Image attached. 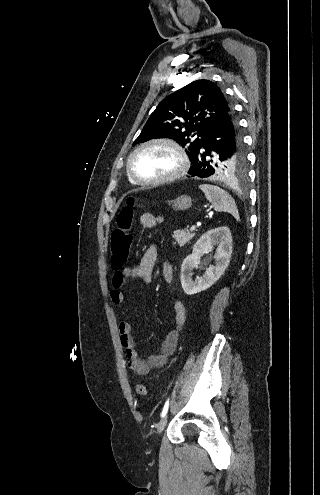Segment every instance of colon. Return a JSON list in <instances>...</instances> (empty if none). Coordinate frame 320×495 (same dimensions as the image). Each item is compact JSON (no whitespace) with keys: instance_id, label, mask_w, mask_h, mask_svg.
Returning a JSON list of instances; mask_svg holds the SVG:
<instances>
[{"instance_id":"1","label":"colon","mask_w":320,"mask_h":495,"mask_svg":"<svg viewBox=\"0 0 320 495\" xmlns=\"http://www.w3.org/2000/svg\"><path fill=\"white\" fill-rule=\"evenodd\" d=\"M134 206V198H129L117 217L116 227L111 232L110 253L111 264L114 269L122 268L130 256L133 245L130 225L134 214ZM136 394L139 397H144L147 394L146 386L144 384H138L136 386Z\"/></svg>"}]
</instances>
